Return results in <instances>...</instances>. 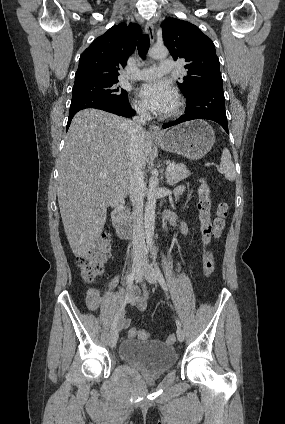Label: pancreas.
Returning <instances> with one entry per match:
<instances>
[{
    "label": "pancreas",
    "instance_id": "obj_1",
    "mask_svg": "<svg viewBox=\"0 0 285 424\" xmlns=\"http://www.w3.org/2000/svg\"><path fill=\"white\" fill-rule=\"evenodd\" d=\"M190 175L187 167L184 164H174V167L167 174V182L169 185H175L178 182L184 180Z\"/></svg>",
    "mask_w": 285,
    "mask_h": 424
}]
</instances>
